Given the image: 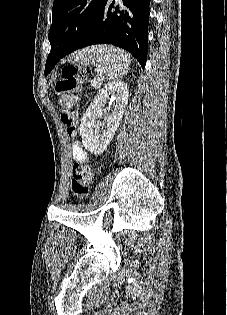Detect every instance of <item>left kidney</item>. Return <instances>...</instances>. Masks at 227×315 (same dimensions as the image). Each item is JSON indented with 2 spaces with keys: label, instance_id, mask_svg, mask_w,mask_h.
Here are the masks:
<instances>
[{
  "label": "left kidney",
  "instance_id": "obj_1",
  "mask_svg": "<svg viewBox=\"0 0 227 315\" xmlns=\"http://www.w3.org/2000/svg\"><path fill=\"white\" fill-rule=\"evenodd\" d=\"M128 94L129 90L125 82L108 83L87 109L81 121L80 135L83 146L90 153L99 155L107 148L122 120L128 102ZM106 104L112 108V113L104 118L103 124L106 129L102 134L94 133V129L99 128L95 119L106 110Z\"/></svg>",
  "mask_w": 227,
  "mask_h": 315
}]
</instances>
